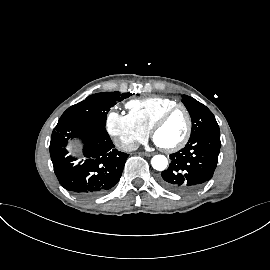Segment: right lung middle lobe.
<instances>
[{"mask_svg":"<svg viewBox=\"0 0 270 270\" xmlns=\"http://www.w3.org/2000/svg\"><path fill=\"white\" fill-rule=\"evenodd\" d=\"M130 93L103 92L90 95L84 101L69 107L60 117L58 123L86 120L95 122L103 127L106 124L107 113L117 102L128 98Z\"/></svg>","mask_w":270,"mask_h":270,"instance_id":"dd1d6c3e","label":"right lung middle lobe"}]
</instances>
